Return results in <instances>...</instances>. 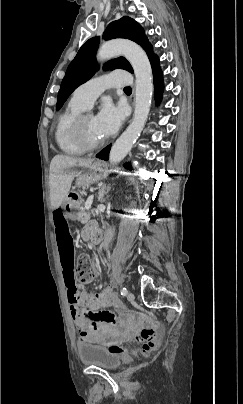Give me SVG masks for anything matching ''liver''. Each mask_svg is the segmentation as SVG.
<instances>
[{"label": "liver", "mask_w": 243, "mask_h": 404, "mask_svg": "<svg viewBox=\"0 0 243 404\" xmlns=\"http://www.w3.org/2000/svg\"><path fill=\"white\" fill-rule=\"evenodd\" d=\"M94 162L93 158H72V156H54L50 164L49 186L50 206L53 210L63 204L69 194L71 184L79 174L74 168H88Z\"/></svg>", "instance_id": "obj_1"}]
</instances>
